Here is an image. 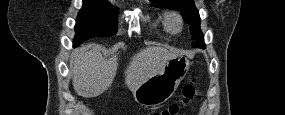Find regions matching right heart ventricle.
Masks as SVG:
<instances>
[{
    "mask_svg": "<svg viewBox=\"0 0 285 115\" xmlns=\"http://www.w3.org/2000/svg\"><path fill=\"white\" fill-rule=\"evenodd\" d=\"M163 26H164V29L168 32H172L167 24V20H166V17L163 19Z\"/></svg>",
    "mask_w": 285,
    "mask_h": 115,
    "instance_id": "right-heart-ventricle-1",
    "label": "right heart ventricle"
}]
</instances>
